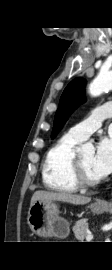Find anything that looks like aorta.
<instances>
[{"label": "aorta", "mask_w": 112, "mask_h": 270, "mask_svg": "<svg viewBox=\"0 0 112 270\" xmlns=\"http://www.w3.org/2000/svg\"><path fill=\"white\" fill-rule=\"evenodd\" d=\"M112 89V71L100 73L89 85V94L93 97L101 95L106 90ZM81 154H94L95 148L91 143H86L79 148Z\"/></svg>", "instance_id": "aorta-1"}]
</instances>
